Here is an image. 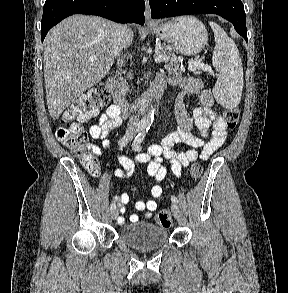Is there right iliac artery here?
I'll return each instance as SVG.
<instances>
[{"label": "right iliac artery", "instance_id": "1", "mask_svg": "<svg viewBox=\"0 0 288 293\" xmlns=\"http://www.w3.org/2000/svg\"><path fill=\"white\" fill-rule=\"evenodd\" d=\"M142 130V127H137L136 128V132H140ZM128 141H129V137L128 136H124L122 137L119 141H118V144L121 146V147H124L128 144ZM110 209L113 210V209H116V205L115 203L113 202L110 206Z\"/></svg>", "mask_w": 288, "mask_h": 293}]
</instances>
